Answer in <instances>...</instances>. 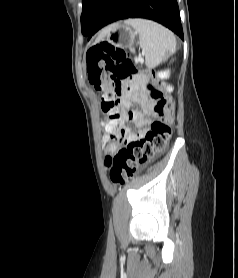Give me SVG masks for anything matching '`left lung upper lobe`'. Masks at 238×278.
Returning a JSON list of instances; mask_svg holds the SVG:
<instances>
[{"mask_svg": "<svg viewBox=\"0 0 238 278\" xmlns=\"http://www.w3.org/2000/svg\"><path fill=\"white\" fill-rule=\"evenodd\" d=\"M107 0H83L81 14V29L83 35H88L101 8Z\"/></svg>", "mask_w": 238, "mask_h": 278, "instance_id": "5c2ea615", "label": "left lung upper lobe"}]
</instances>
